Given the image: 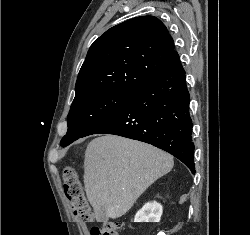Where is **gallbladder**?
Instances as JSON below:
<instances>
[{
  "instance_id": "gallbladder-1",
  "label": "gallbladder",
  "mask_w": 250,
  "mask_h": 235,
  "mask_svg": "<svg viewBox=\"0 0 250 235\" xmlns=\"http://www.w3.org/2000/svg\"><path fill=\"white\" fill-rule=\"evenodd\" d=\"M109 217L106 214V210L104 207H101L98 213V220L101 222H107Z\"/></svg>"
}]
</instances>
